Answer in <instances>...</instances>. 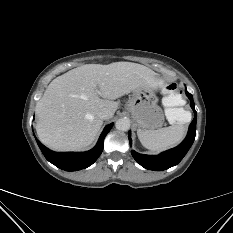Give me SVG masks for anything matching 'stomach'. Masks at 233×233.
I'll return each mask as SVG.
<instances>
[{"instance_id": "1", "label": "stomach", "mask_w": 233, "mask_h": 233, "mask_svg": "<svg viewBox=\"0 0 233 233\" xmlns=\"http://www.w3.org/2000/svg\"><path fill=\"white\" fill-rule=\"evenodd\" d=\"M126 110L140 129L154 130L164 123V114L157 104V98L146 86H139L132 91Z\"/></svg>"}]
</instances>
